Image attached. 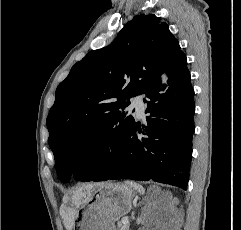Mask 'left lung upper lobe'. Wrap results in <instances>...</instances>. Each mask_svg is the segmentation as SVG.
<instances>
[{"label":"left lung upper lobe","mask_w":241,"mask_h":230,"mask_svg":"<svg viewBox=\"0 0 241 230\" xmlns=\"http://www.w3.org/2000/svg\"><path fill=\"white\" fill-rule=\"evenodd\" d=\"M182 53L166 23L153 14L138 15L111 45L89 52L71 68L46 121L63 182L93 146L113 143L128 130L134 122L124 111L129 99L145 94Z\"/></svg>","instance_id":"left-lung-upper-lobe-1"}]
</instances>
